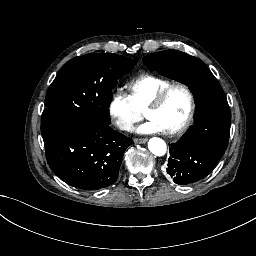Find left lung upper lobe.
Returning a JSON list of instances; mask_svg holds the SVG:
<instances>
[{"label":"left lung upper lobe","instance_id":"5c2ea615","mask_svg":"<svg viewBox=\"0 0 256 256\" xmlns=\"http://www.w3.org/2000/svg\"><path fill=\"white\" fill-rule=\"evenodd\" d=\"M144 64L189 86L196 103V123L170 145L167 173L207 176L223 156L229 139L231 113L225 94L207 66L177 50L147 55Z\"/></svg>","mask_w":256,"mask_h":256}]
</instances>
